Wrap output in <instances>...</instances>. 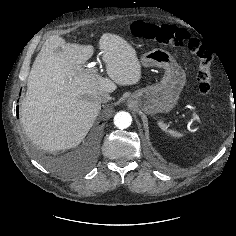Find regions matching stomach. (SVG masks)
<instances>
[{"label":"stomach","mask_w":236,"mask_h":236,"mask_svg":"<svg viewBox=\"0 0 236 236\" xmlns=\"http://www.w3.org/2000/svg\"><path fill=\"white\" fill-rule=\"evenodd\" d=\"M145 67L155 66L165 70L160 82L135 91L128 103L148 114L169 112L177 103L186 82V74L175 58L166 50L153 49L141 56Z\"/></svg>","instance_id":"0dacf381"}]
</instances>
